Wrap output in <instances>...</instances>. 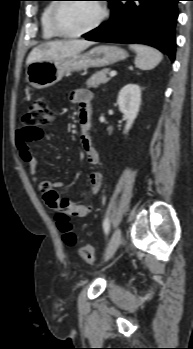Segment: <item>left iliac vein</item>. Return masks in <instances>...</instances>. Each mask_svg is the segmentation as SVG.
Masks as SVG:
<instances>
[{
  "instance_id": "4c4485c4",
  "label": "left iliac vein",
  "mask_w": 193,
  "mask_h": 349,
  "mask_svg": "<svg viewBox=\"0 0 193 349\" xmlns=\"http://www.w3.org/2000/svg\"><path fill=\"white\" fill-rule=\"evenodd\" d=\"M122 232L120 228H116L111 236L109 244L104 253V261L109 260L115 251L117 250L119 244L121 243Z\"/></svg>"
}]
</instances>
